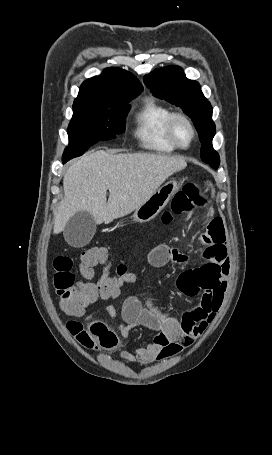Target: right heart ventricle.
Masks as SVG:
<instances>
[{
  "label": "right heart ventricle",
  "mask_w": 272,
  "mask_h": 455,
  "mask_svg": "<svg viewBox=\"0 0 272 455\" xmlns=\"http://www.w3.org/2000/svg\"><path fill=\"white\" fill-rule=\"evenodd\" d=\"M172 111L152 98H146L134 115L133 134L139 145L158 154H170L176 148L169 142L165 125Z\"/></svg>",
  "instance_id": "obj_1"
}]
</instances>
